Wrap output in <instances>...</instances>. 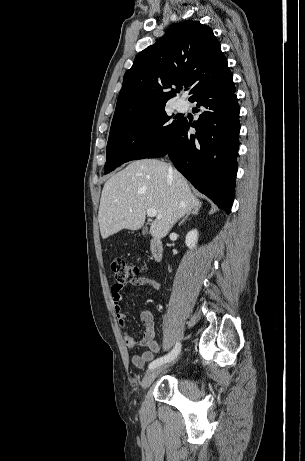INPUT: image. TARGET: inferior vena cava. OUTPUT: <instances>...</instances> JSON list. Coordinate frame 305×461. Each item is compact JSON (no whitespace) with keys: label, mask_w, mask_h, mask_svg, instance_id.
Returning <instances> with one entry per match:
<instances>
[{"label":"inferior vena cava","mask_w":305,"mask_h":461,"mask_svg":"<svg viewBox=\"0 0 305 461\" xmlns=\"http://www.w3.org/2000/svg\"><path fill=\"white\" fill-rule=\"evenodd\" d=\"M168 172H169V175H172L173 170L171 166H169Z\"/></svg>","instance_id":"602c4592"}]
</instances>
